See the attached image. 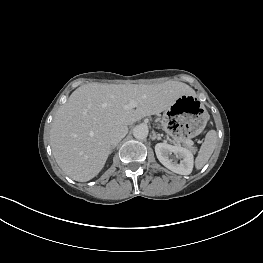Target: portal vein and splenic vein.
<instances>
[{
	"label": "portal vein and splenic vein",
	"mask_w": 263,
	"mask_h": 263,
	"mask_svg": "<svg viewBox=\"0 0 263 263\" xmlns=\"http://www.w3.org/2000/svg\"><path fill=\"white\" fill-rule=\"evenodd\" d=\"M136 106H137V103L135 101H130L127 105H125V108L131 109V108H135ZM185 143L189 145H193L192 140H186Z\"/></svg>",
	"instance_id": "portal-vein-and-splenic-vein-1"
}]
</instances>
